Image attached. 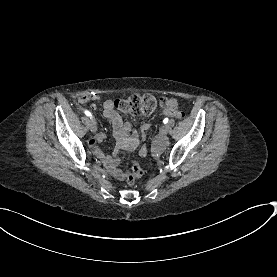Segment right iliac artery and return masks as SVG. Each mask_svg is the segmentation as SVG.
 <instances>
[{
	"label": "right iliac artery",
	"mask_w": 277,
	"mask_h": 277,
	"mask_svg": "<svg viewBox=\"0 0 277 277\" xmlns=\"http://www.w3.org/2000/svg\"><path fill=\"white\" fill-rule=\"evenodd\" d=\"M84 113H85V115L88 116V117H91V116H92V114H91L89 111H87V110H86Z\"/></svg>",
	"instance_id": "1"
}]
</instances>
